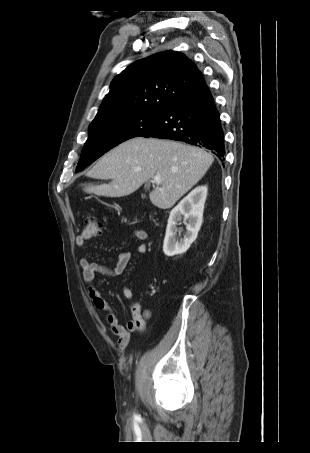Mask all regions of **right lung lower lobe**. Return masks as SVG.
<instances>
[{"label":"right lung lower lobe","instance_id":"1","mask_svg":"<svg viewBox=\"0 0 310 453\" xmlns=\"http://www.w3.org/2000/svg\"><path fill=\"white\" fill-rule=\"evenodd\" d=\"M139 136L202 146L224 160V132L220 115L205 80L165 108L158 120Z\"/></svg>","mask_w":310,"mask_h":453}]
</instances>
